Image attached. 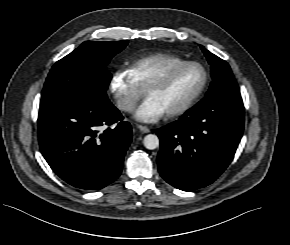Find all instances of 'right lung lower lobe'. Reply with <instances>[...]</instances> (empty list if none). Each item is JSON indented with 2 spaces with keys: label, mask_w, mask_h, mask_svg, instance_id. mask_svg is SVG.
I'll use <instances>...</instances> for the list:
<instances>
[{
  "label": "right lung lower lobe",
  "mask_w": 290,
  "mask_h": 245,
  "mask_svg": "<svg viewBox=\"0 0 290 245\" xmlns=\"http://www.w3.org/2000/svg\"><path fill=\"white\" fill-rule=\"evenodd\" d=\"M38 130L41 153L52 170L87 190L119 177L132 140L131 126L119 110L109 100L91 97L40 108Z\"/></svg>",
  "instance_id": "right-lung-lower-lobe-1"
}]
</instances>
